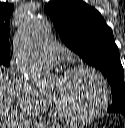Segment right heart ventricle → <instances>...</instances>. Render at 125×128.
Wrapping results in <instances>:
<instances>
[{
	"label": "right heart ventricle",
	"instance_id": "1",
	"mask_svg": "<svg viewBox=\"0 0 125 128\" xmlns=\"http://www.w3.org/2000/svg\"><path fill=\"white\" fill-rule=\"evenodd\" d=\"M47 109H48V106H46L43 111H45V110H47Z\"/></svg>",
	"mask_w": 125,
	"mask_h": 128
}]
</instances>
